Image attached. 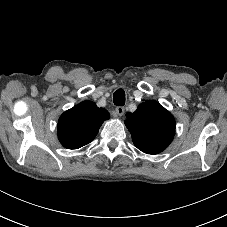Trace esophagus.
<instances>
[{
    "mask_svg": "<svg viewBox=\"0 0 227 227\" xmlns=\"http://www.w3.org/2000/svg\"><path fill=\"white\" fill-rule=\"evenodd\" d=\"M115 111L118 116H122L125 112V108L123 106H118L116 107Z\"/></svg>",
    "mask_w": 227,
    "mask_h": 227,
    "instance_id": "obj_1",
    "label": "esophagus"
}]
</instances>
